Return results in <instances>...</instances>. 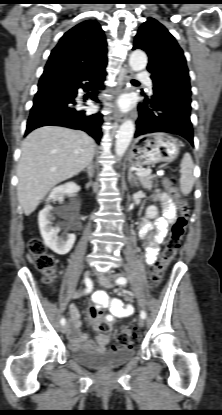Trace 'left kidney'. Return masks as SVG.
<instances>
[{"instance_id": "obj_1", "label": "left kidney", "mask_w": 222, "mask_h": 415, "mask_svg": "<svg viewBox=\"0 0 222 415\" xmlns=\"http://www.w3.org/2000/svg\"><path fill=\"white\" fill-rule=\"evenodd\" d=\"M158 214V209L156 206H149L146 210V217L147 218H155Z\"/></svg>"}]
</instances>
